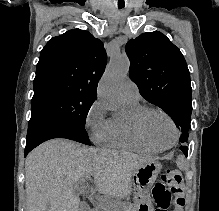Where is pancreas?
<instances>
[{"instance_id": "1", "label": "pancreas", "mask_w": 219, "mask_h": 211, "mask_svg": "<svg viewBox=\"0 0 219 211\" xmlns=\"http://www.w3.org/2000/svg\"><path fill=\"white\" fill-rule=\"evenodd\" d=\"M104 211H134L133 200H104ZM130 207H127V206Z\"/></svg>"}]
</instances>
